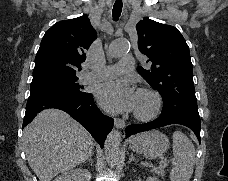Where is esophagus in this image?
I'll return each mask as SVG.
<instances>
[{
  "label": "esophagus",
  "mask_w": 228,
  "mask_h": 181,
  "mask_svg": "<svg viewBox=\"0 0 228 181\" xmlns=\"http://www.w3.org/2000/svg\"><path fill=\"white\" fill-rule=\"evenodd\" d=\"M115 127L123 130L125 128V122L120 118H115L114 120Z\"/></svg>",
  "instance_id": "1"
}]
</instances>
